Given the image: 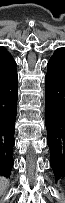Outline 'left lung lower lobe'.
<instances>
[{"label": "left lung lower lobe", "instance_id": "1", "mask_svg": "<svg viewBox=\"0 0 65 203\" xmlns=\"http://www.w3.org/2000/svg\"><path fill=\"white\" fill-rule=\"evenodd\" d=\"M45 123L50 165L55 181L65 177V49H57L47 64Z\"/></svg>", "mask_w": 65, "mask_h": 203}]
</instances>
